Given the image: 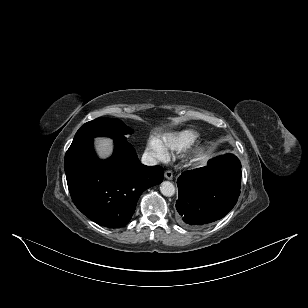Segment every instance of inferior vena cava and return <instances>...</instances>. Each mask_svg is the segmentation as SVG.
<instances>
[{
	"mask_svg": "<svg viewBox=\"0 0 308 308\" xmlns=\"http://www.w3.org/2000/svg\"><path fill=\"white\" fill-rule=\"evenodd\" d=\"M141 162L147 166H154L157 164V160L149 153H144Z\"/></svg>",
	"mask_w": 308,
	"mask_h": 308,
	"instance_id": "obj_1",
	"label": "inferior vena cava"
}]
</instances>
